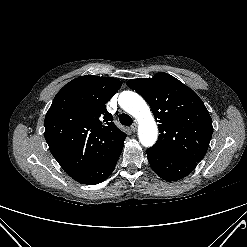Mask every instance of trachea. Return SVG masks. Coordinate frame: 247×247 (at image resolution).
Wrapping results in <instances>:
<instances>
[{
    "instance_id": "1",
    "label": "trachea",
    "mask_w": 247,
    "mask_h": 247,
    "mask_svg": "<svg viewBox=\"0 0 247 247\" xmlns=\"http://www.w3.org/2000/svg\"><path fill=\"white\" fill-rule=\"evenodd\" d=\"M119 120L120 123L125 126H130L133 123L132 118L127 114H121Z\"/></svg>"
}]
</instances>
